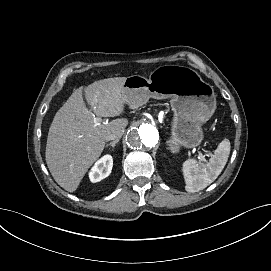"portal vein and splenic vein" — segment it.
<instances>
[{
    "label": "portal vein and splenic vein",
    "instance_id": "obj_1",
    "mask_svg": "<svg viewBox=\"0 0 271 271\" xmlns=\"http://www.w3.org/2000/svg\"><path fill=\"white\" fill-rule=\"evenodd\" d=\"M202 153H203L204 155H207V154H209V155H210V154L214 155V154H215L214 152H212V153H210V152L207 153V152H205V151H203ZM200 158L203 159V160L205 159V158L202 156V154H201Z\"/></svg>",
    "mask_w": 271,
    "mask_h": 271
}]
</instances>
